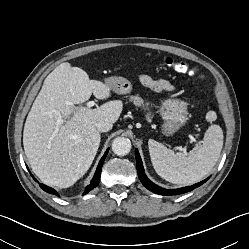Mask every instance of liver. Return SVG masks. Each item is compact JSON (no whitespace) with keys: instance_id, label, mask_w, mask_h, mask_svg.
Here are the masks:
<instances>
[{"instance_id":"6515ba94","label":"liver","mask_w":249,"mask_h":249,"mask_svg":"<svg viewBox=\"0 0 249 249\" xmlns=\"http://www.w3.org/2000/svg\"><path fill=\"white\" fill-rule=\"evenodd\" d=\"M110 90L106 83L90 80L85 71L68 62L47 76L23 131L25 155L44 184L67 188L88 171L101 141L97 123L114 124L123 104L109 101L94 109L75 104L86 102L92 93L106 99Z\"/></svg>"}]
</instances>
